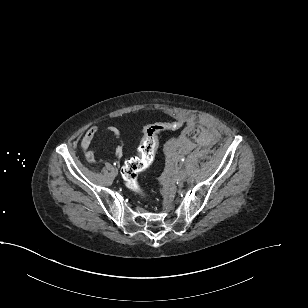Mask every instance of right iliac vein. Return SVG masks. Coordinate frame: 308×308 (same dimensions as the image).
<instances>
[{
  "mask_svg": "<svg viewBox=\"0 0 308 308\" xmlns=\"http://www.w3.org/2000/svg\"><path fill=\"white\" fill-rule=\"evenodd\" d=\"M114 172H115V174H117V173H118V169H117V168H115V169H114Z\"/></svg>",
  "mask_w": 308,
  "mask_h": 308,
  "instance_id": "obj_1",
  "label": "right iliac vein"
}]
</instances>
